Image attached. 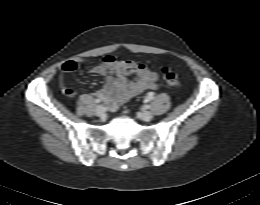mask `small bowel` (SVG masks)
Wrapping results in <instances>:
<instances>
[{
    "instance_id": "small-bowel-1",
    "label": "small bowel",
    "mask_w": 260,
    "mask_h": 205,
    "mask_svg": "<svg viewBox=\"0 0 260 205\" xmlns=\"http://www.w3.org/2000/svg\"><path fill=\"white\" fill-rule=\"evenodd\" d=\"M86 59H74L65 62L61 67L60 88L68 96L75 95L67 84L66 75L74 72ZM92 73L106 77V84L94 95L104 100L109 110H116L129 99L139 95L147 89H156L158 75L147 65L134 60H119L113 56H105L100 63L92 65ZM135 78L130 80L129 76Z\"/></svg>"
}]
</instances>
